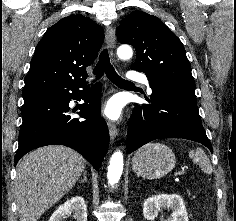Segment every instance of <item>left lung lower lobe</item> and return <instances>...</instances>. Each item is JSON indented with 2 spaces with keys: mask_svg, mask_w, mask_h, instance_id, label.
<instances>
[{
  "mask_svg": "<svg viewBox=\"0 0 236 221\" xmlns=\"http://www.w3.org/2000/svg\"><path fill=\"white\" fill-rule=\"evenodd\" d=\"M150 104L134 108L129 120L127 150L162 138H183L199 142L212 152V145L201 124L195 91L155 84L149 80Z\"/></svg>",
  "mask_w": 236,
  "mask_h": 221,
  "instance_id": "obj_1",
  "label": "left lung lower lobe"
}]
</instances>
